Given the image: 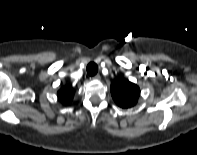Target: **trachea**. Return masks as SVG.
Returning <instances> with one entry per match:
<instances>
[{"instance_id": "obj_1", "label": "trachea", "mask_w": 197, "mask_h": 155, "mask_svg": "<svg viewBox=\"0 0 197 155\" xmlns=\"http://www.w3.org/2000/svg\"><path fill=\"white\" fill-rule=\"evenodd\" d=\"M97 72H98V66H97V64L94 63V62H90L87 65V73H88V75L94 76V75H96Z\"/></svg>"}]
</instances>
